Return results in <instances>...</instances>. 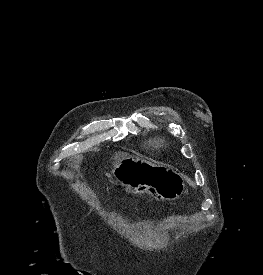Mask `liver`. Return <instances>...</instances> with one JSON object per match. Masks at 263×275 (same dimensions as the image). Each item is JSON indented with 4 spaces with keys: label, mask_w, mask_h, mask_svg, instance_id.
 Here are the masks:
<instances>
[{
    "label": "liver",
    "mask_w": 263,
    "mask_h": 275,
    "mask_svg": "<svg viewBox=\"0 0 263 275\" xmlns=\"http://www.w3.org/2000/svg\"><path fill=\"white\" fill-rule=\"evenodd\" d=\"M129 155L126 154V153H118V154H115V157L114 159L118 162L120 161L121 159L125 158V157H128Z\"/></svg>",
    "instance_id": "6515ba94"
}]
</instances>
